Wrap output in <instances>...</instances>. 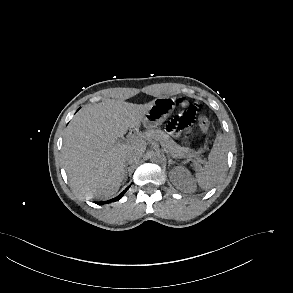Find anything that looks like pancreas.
<instances>
[{
    "label": "pancreas",
    "mask_w": 293,
    "mask_h": 293,
    "mask_svg": "<svg viewBox=\"0 0 293 293\" xmlns=\"http://www.w3.org/2000/svg\"><path fill=\"white\" fill-rule=\"evenodd\" d=\"M146 138L149 141H160L164 149L175 158H182L187 155L197 156L196 153H190L191 150L189 148L181 147L176 144L169 135L161 130H150L146 132Z\"/></svg>",
    "instance_id": "cf45deb5"
}]
</instances>
